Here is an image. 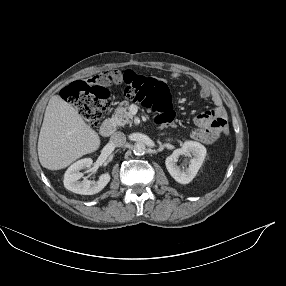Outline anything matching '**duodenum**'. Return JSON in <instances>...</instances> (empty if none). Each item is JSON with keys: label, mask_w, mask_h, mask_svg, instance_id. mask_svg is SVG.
Listing matches in <instances>:
<instances>
[{"label": "duodenum", "mask_w": 286, "mask_h": 286, "mask_svg": "<svg viewBox=\"0 0 286 286\" xmlns=\"http://www.w3.org/2000/svg\"><path fill=\"white\" fill-rule=\"evenodd\" d=\"M114 131H115L114 121L110 119L105 120L101 126V134L105 137H110L113 135Z\"/></svg>", "instance_id": "obj_1"}]
</instances>
